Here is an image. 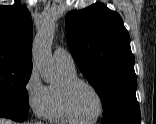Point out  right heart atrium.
<instances>
[{
    "label": "right heart atrium",
    "instance_id": "d8ad5b80",
    "mask_svg": "<svg viewBox=\"0 0 156 124\" xmlns=\"http://www.w3.org/2000/svg\"><path fill=\"white\" fill-rule=\"evenodd\" d=\"M24 92L27 104L33 113L40 118L49 116V93L35 68L27 76Z\"/></svg>",
    "mask_w": 156,
    "mask_h": 124
}]
</instances>
